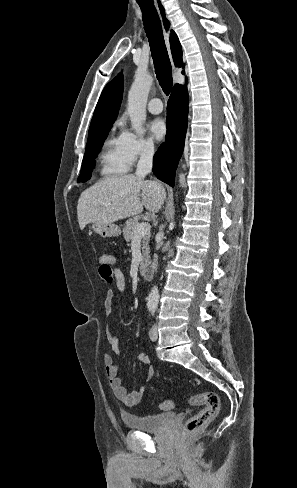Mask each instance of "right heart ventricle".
<instances>
[{
	"mask_svg": "<svg viewBox=\"0 0 297 488\" xmlns=\"http://www.w3.org/2000/svg\"><path fill=\"white\" fill-rule=\"evenodd\" d=\"M128 168L120 136H111L105 141L100 154V173L104 176H117L125 173Z\"/></svg>",
	"mask_w": 297,
	"mask_h": 488,
	"instance_id": "e07e8e85",
	"label": "right heart ventricle"
}]
</instances>
